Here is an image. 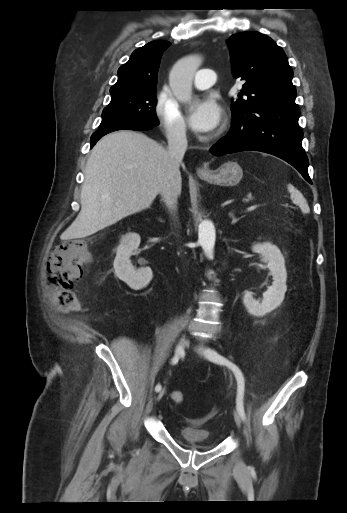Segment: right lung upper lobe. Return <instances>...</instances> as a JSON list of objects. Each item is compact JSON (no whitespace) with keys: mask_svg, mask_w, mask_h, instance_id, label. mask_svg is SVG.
Here are the masks:
<instances>
[{"mask_svg":"<svg viewBox=\"0 0 347 513\" xmlns=\"http://www.w3.org/2000/svg\"><path fill=\"white\" fill-rule=\"evenodd\" d=\"M170 42L156 40L136 49L118 70V81L110 93L156 88L157 73L163 52Z\"/></svg>","mask_w":347,"mask_h":513,"instance_id":"right-lung-upper-lobe-1","label":"right lung upper lobe"}]
</instances>
